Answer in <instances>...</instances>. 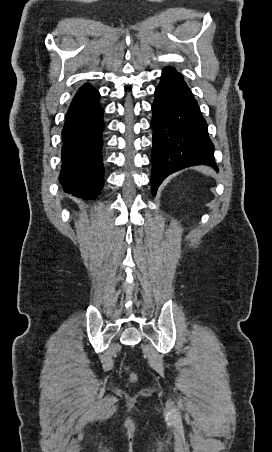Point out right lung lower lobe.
I'll return each mask as SVG.
<instances>
[{"mask_svg":"<svg viewBox=\"0 0 272 452\" xmlns=\"http://www.w3.org/2000/svg\"><path fill=\"white\" fill-rule=\"evenodd\" d=\"M100 94L90 84L73 98L62 131L63 190L86 200L95 199L104 184L101 155L104 130Z\"/></svg>","mask_w":272,"mask_h":452,"instance_id":"right-lung-lower-lobe-1","label":"right lung lower lobe"}]
</instances>
